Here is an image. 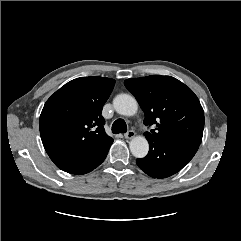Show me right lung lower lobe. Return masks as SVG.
Wrapping results in <instances>:
<instances>
[{
  "label": "right lung lower lobe",
  "mask_w": 241,
  "mask_h": 241,
  "mask_svg": "<svg viewBox=\"0 0 241 241\" xmlns=\"http://www.w3.org/2000/svg\"><path fill=\"white\" fill-rule=\"evenodd\" d=\"M112 143L113 139L88 154L65 159L57 163L56 166L71 174L88 173L104 161Z\"/></svg>",
  "instance_id": "obj_1"
}]
</instances>
